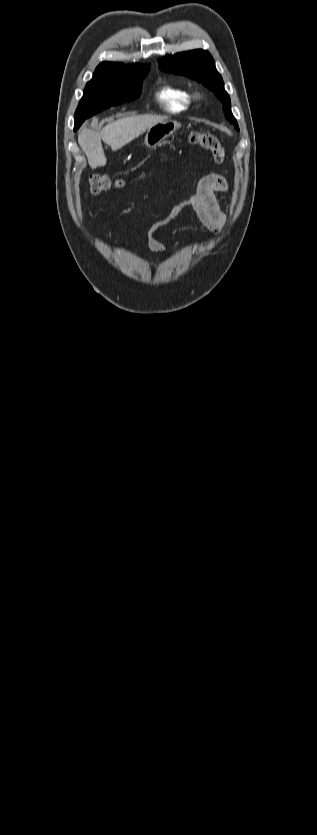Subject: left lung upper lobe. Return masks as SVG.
<instances>
[{"mask_svg":"<svg viewBox=\"0 0 317 835\" xmlns=\"http://www.w3.org/2000/svg\"><path fill=\"white\" fill-rule=\"evenodd\" d=\"M159 67L169 73L188 76L209 88L223 103L225 117L239 130L231 112L230 97L224 89L222 77L217 72L214 60L208 51L196 49L166 56L159 61Z\"/></svg>","mask_w":317,"mask_h":835,"instance_id":"left-lung-upper-lobe-1","label":"left lung upper lobe"}]
</instances>
